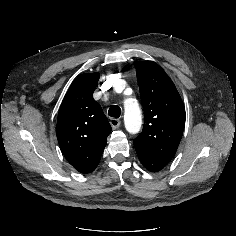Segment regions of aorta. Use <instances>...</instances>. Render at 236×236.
Returning <instances> with one entry per match:
<instances>
[{
	"instance_id": "aorta-1",
	"label": "aorta",
	"mask_w": 236,
	"mask_h": 236,
	"mask_svg": "<svg viewBox=\"0 0 236 236\" xmlns=\"http://www.w3.org/2000/svg\"><path fill=\"white\" fill-rule=\"evenodd\" d=\"M124 123L126 130L131 134L140 130L142 116L136 99L130 98L124 102Z\"/></svg>"
}]
</instances>
